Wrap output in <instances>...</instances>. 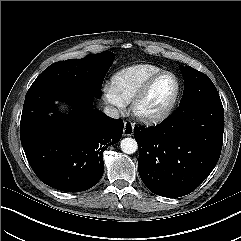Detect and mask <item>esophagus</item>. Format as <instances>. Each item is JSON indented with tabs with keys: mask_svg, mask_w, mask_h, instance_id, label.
<instances>
[{
	"mask_svg": "<svg viewBox=\"0 0 241 241\" xmlns=\"http://www.w3.org/2000/svg\"><path fill=\"white\" fill-rule=\"evenodd\" d=\"M134 132V126L131 123L125 122L123 133L124 136H132Z\"/></svg>",
	"mask_w": 241,
	"mask_h": 241,
	"instance_id": "34e87169",
	"label": "esophagus"
}]
</instances>
